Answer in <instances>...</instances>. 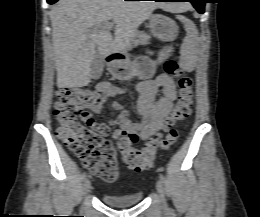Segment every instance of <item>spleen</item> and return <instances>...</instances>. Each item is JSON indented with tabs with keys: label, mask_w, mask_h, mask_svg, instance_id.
I'll use <instances>...</instances> for the list:
<instances>
[{
	"label": "spleen",
	"mask_w": 260,
	"mask_h": 217,
	"mask_svg": "<svg viewBox=\"0 0 260 217\" xmlns=\"http://www.w3.org/2000/svg\"><path fill=\"white\" fill-rule=\"evenodd\" d=\"M177 19H179L185 28L186 37L183 40L181 45V58L183 60H190L196 54L197 46L199 43V34L196 25L188 18L177 15Z\"/></svg>",
	"instance_id": "3e777b00"
}]
</instances>
